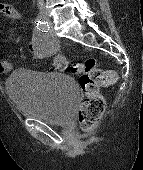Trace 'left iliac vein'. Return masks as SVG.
<instances>
[{
  "label": "left iliac vein",
  "mask_w": 143,
  "mask_h": 170,
  "mask_svg": "<svg viewBox=\"0 0 143 170\" xmlns=\"http://www.w3.org/2000/svg\"><path fill=\"white\" fill-rule=\"evenodd\" d=\"M44 18H45L46 20H49V17H48L47 15H44Z\"/></svg>",
  "instance_id": "obj_1"
}]
</instances>
